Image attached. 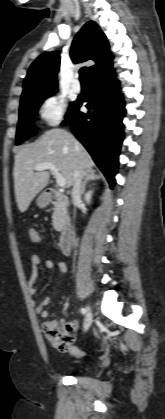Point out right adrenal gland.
<instances>
[{
  "mask_svg": "<svg viewBox=\"0 0 165 419\" xmlns=\"http://www.w3.org/2000/svg\"><path fill=\"white\" fill-rule=\"evenodd\" d=\"M98 178H99V176L96 174L95 170H90L89 173L87 174L83 184H82L81 194H84L86 183L89 180H97Z\"/></svg>",
  "mask_w": 165,
  "mask_h": 419,
  "instance_id": "2a0ac1e0",
  "label": "right adrenal gland"
}]
</instances>
